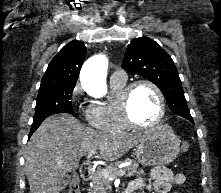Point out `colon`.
Returning a JSON list of instances; mask_svg holds the SVG:
<instances>
[{
  "label": "colon",
  "instance_id": "obj_1",
  "mask_svg": "<svg viewBox=\"0 0 221 193\" xmlns=\"http://www.w3.org/2000/svg\"><path fill=\"white\" fill-rule=\"evenodd\" d=\"M182 149L183 151H187L189 149V144L183 143ZM69 193H79V180L76 176L71 180Z\"/></svg>",
  "mask_w": 221,
  "mask_h": 193
}]
</instances>
